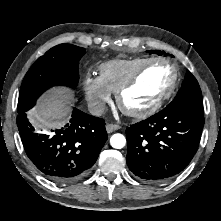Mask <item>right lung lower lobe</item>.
I'll list each match as a JSON object with an SVG mask.
<instances>
[{"mask_svg":"<svg viewBox=\"0 0 221 221\" xmlns=\"http://www.w3.org/2000/svg\"><path fill=\"white\" fill-rule=\"evenodd\" d=\"M17 126L25 152L47 179L68 184L88 174L107 140L105 121L77 108L61 129L37 133L26 113L18 114Z\"/></svg>","mask_w":221,"mask_h":221,"instance_id":"right-lung-lower-lobe-1","label":"right lung lower lobe"}]
</instances>
